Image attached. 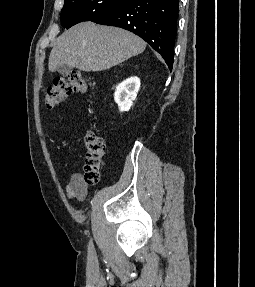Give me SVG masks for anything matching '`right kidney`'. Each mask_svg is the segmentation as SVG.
Wrapping results in <instances>:
<instances>
[{
  "label": "right kidney",
  "instance_id": "1",
  "mask_svg": "<svg viewBox=\"0 0 255 287\" xmlns=\"http://www.w3.org/2000/svg\"><path fill=\"white\" fill-rule=\"evenodd\" d=\"M139 88L140 80L136 78V76L127 78V80L118 84L114 94V100L116 104H118L120 112H128V110H130L134 100H136Z\"/></svg>",
  "mask_w": 255,
  "mask_h": 287
}]
</instances>
